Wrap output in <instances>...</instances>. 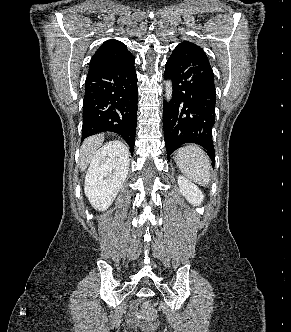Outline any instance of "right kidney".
<instances>
[{
  "label": "right kidney",
  "instance_id": "right-kidney-1",
  "mask_svg": "<svg viewBox=\"0 0 291 332\" xmlns=\"http://www.w3.org/2000/svg\"><path fill=\"white\" fill-rule=\"evenodd\" d=\"M129 166L124 145L105 144L93 157L85 178V194L99 210L107 209L123 186Z\"/></svg>",
  "mask_w": 291,
  "mask_h": 332
}]
</instances>
